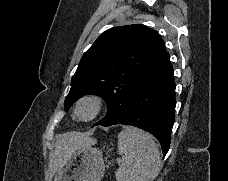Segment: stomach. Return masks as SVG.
I'll return each instance as SVG.
<instances>
[{
    "instance_id": "stomach-1",
    "label": "stomach",
    "mask_w": 228,
    "mask_h": 181,
    "mask_svg": "<svg viewBox=\"0 0 228 181\" xmlns=\"http://www.w3.org/2000/svg\"><path fill=\"white\" fill-rule=\"evenodd\" d=\"M104 149V147H103ZM105 173L101 149L97 147H76L71 157L59 171L54 181H102Z\"/></svg>"
}]
</instances>
